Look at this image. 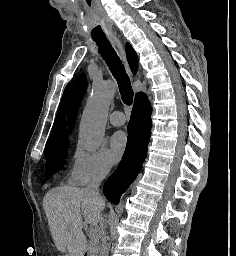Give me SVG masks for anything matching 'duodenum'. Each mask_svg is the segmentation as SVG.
<instances>
[{"mask_svg": "<svg viewBox=\"0 0 236 256\" xmlns=\"http://www.w3.org/2000/svg\"><path fill=\"white\" fill-rule=\"evenodd\" d=\"M82 256H90L88 247L85 246L83 248Z\"/></svg>", "mask_w": 236, "mask_h": 256, "instance_id": "1", "label": "duodenum"}]
</instances>
